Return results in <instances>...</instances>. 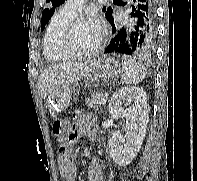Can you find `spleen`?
I'll use <instances>...</instances> for the list:
<instances>
[{
  "instance_id": "1",
  "label": "spleen",
  "mask_w": 197,
  "mask_h": 181,
  "mask_svg": "<svg viewBox=\"0 0 197 181\" xmlns=\"http://www.w3.org/2000/svg\"><path fill=\"white\" fill-rule=\"evenodd\" d=\"M122 79L128 84H138L146 76V68L129 56L122 57Z\"/></svg>"
}]
</instances>
